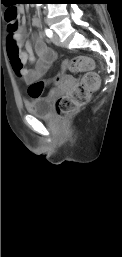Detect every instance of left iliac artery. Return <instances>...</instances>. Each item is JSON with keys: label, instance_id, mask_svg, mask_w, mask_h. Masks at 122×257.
<instances>
[{"label": "left iliac artery", "instance_id": "left-iliac-artery-1", "mask_svg": "<svg viewBox=\"0 0 122 257\" xmlns=\"http://www.w3.org/2000/svg\"><path fill=\"white\" fill-rule=\"evenodd\" d=\"M45 34H46L49 38L53 36L52 30H50V29H48V28L45 29Z\"/></svg>", "mask_w": 122, "mask_h": 257}]
</instances>
